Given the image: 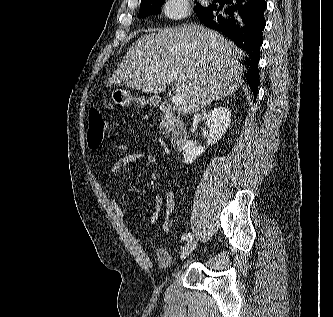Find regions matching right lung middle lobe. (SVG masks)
<instances>
[{"mask_svg":"<svg viewBox=\"0 0 333 317\" xmlns=\"http://www.w3.org/2000/svg\"><path fill=\"white\" fill-rule=\"evenodd\" d=\"M164 1L165 0H142L138 17L142 18L158 13ZM204 9L205 7H202L199 3L195 7L197 14H199Z\"/></svg>","mask_w":333,"mask_h":317,"instance_id":"right-lung-middle-lobe-1","label":"right lung middle lobe"}]
</instances>
